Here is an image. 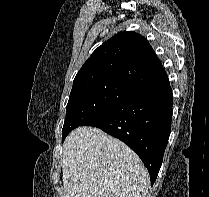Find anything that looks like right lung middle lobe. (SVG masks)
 <instances>
[{
	"label": "right lung middle lobe",
	"mask_w": 209,
	"mask_h": 197,
	"mask_svg": "<svg viewBox=\"0 0 209 197\" xmlns=\"http://www.w3.org/2000/svg\"><path fill=\"white\" fill-rule=\"evenodd\" d=\"M137 89L112 80L73 83L66 107L62 141L76 127L131 96Z\"/></svg>",
	"instance_id": "1"
}]
</instances>
